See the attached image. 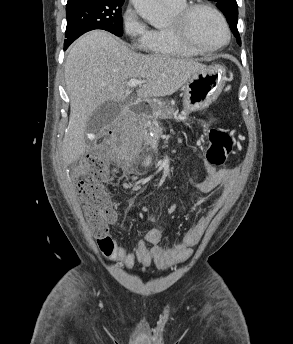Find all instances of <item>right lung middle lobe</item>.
<instances>
[{"mask_svg":"<svg viewBox=\"0 0 293 344\" xmlns=\"http://www.w3.org/2000/svg\"><path fill=\"white\" fill-rule=\"evenodd\" d=\"M124 0H80L66 5L67 28L64 49L79 36L102 29L122 36V5Z\"/></svg>","mask_w":293,"mask_h":344,"instance_id":"right-lung-middle-lobe-1","label":"right lung middle lobe"}]
</instances>
